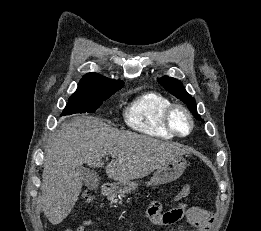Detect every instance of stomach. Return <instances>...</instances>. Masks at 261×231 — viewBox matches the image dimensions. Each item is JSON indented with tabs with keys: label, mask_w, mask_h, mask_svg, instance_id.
Here are the masks:
<instances>
[{
	"label": "stomach",
	"mask_w": 261,
	"mask_h": 231,
	"mask_svg": "<svg viewBox=\"0 0 261 231\" xmlns=\"http://www.w3.org/2000/svg\"><path fill=\"white\" fill-rule=\"evenodd\" d=\"M186 165L187 161L182 155L173 158L154 172L147 185L157 186L177 180L183 174ZM137 187L138 184L135 182L117 183L114 185V191L123 196L135 191Z\"/></svg>",
	"instance_id": "1"
}]
</instances>
